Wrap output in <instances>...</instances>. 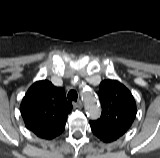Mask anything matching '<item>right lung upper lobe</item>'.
<instances>
[{
  "mask_svg": "<svg viewBox=\"0 0 160 158\" xmlns=\"http://www.w3.org/2000/svg\"><path fill=\"white\" fill-rule=\"evenodd\" d=\"M71 109L64 89L47 80L35 82L20 106L26 128L43 139H53L64 131Z\"/></svg>",
  "mask_w": 160,
  "mask_h": 158,
  "instance_id": "cb5924a9",
  "label": "right lung upper lobe"
}]
</instances>
